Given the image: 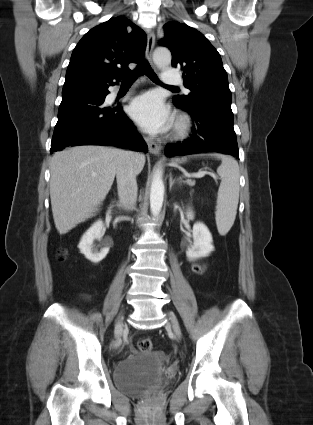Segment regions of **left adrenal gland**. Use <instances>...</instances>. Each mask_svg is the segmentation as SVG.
<instances>
[{"instance_id":"a2214340","label":"left adrenal gland","mask_w":313,"mask_h":425,"mask_svg":"<svg viewBox=\"0 0 313 425\" xmlns=\"http://www.w3.org/2000/svg\"><path fill=\"white\" fill-rule=\"evenodd\" d=\"M180 180L173 179L172 174L169 175V189H172L174 184H180Z\"/></svg>"}]
</instances>
